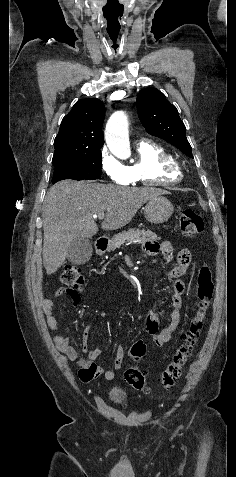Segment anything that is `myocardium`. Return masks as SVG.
Wrapping results in <instances>:
<instances>
[{"instance_id":"myocardium-1","label":"myocardium","mask_w":236,"mask_h":477,"mask_svg":"<svg viewBox=\"0 0 236 477\" xmlns=\"http://www.w3.org/2000/svg\"><path fill=\"white\" fill-rule=\"evenodd\" d=\"M161 171L164 173H173L180 171V167L177 161H167L161 165Z\"/></svg>"}]
</instances>
